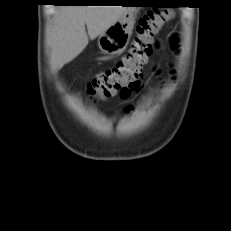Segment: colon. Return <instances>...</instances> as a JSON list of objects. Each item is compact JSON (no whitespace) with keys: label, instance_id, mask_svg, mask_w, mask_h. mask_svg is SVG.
<instances>
[{"label":"colon","instance_id":"colon-1","mask_svg":"<svg viewBox=\"0 0 231 231\" xmlns=\"http://www.w3.org/2000/svg\"><path fill=\"white\" fill-rule=\"evenodd\" d=\"M171 17L165 9H152L145 13L136 26V36L129 51L111 68L97 74L87 85V93L96 99L116 95L126 85L138 81L143 66L152 55L155 35Z\"/></svg>","mask_w":231,"mask_h":231}]
</instances>
